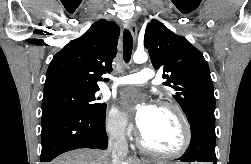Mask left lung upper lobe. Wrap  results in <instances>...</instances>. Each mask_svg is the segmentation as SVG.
<instances>
[{"label":"left lung upper lobe","instance_id":"5c2ea615","mask_svg":"<svg viewBox=\"0 0 251 164\" xmlns=\"http://www.w3.org/2000/svg\"><path fill=\"white\" fill-rule=\"evenodd\" d=\"M144 46L155 69L163 68L164 85L171 89L190 122L196 115L215 118V97L208 63L186 38L158 20L147 24Z\"/></svg>","mask_w":251,"mask_h":164}]
</instances>
